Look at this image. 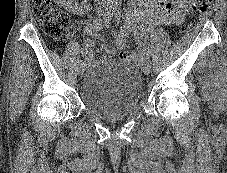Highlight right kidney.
Instances as JSON below:
<instances>
[{
	"label": "right kidney",
	"instance_id": "ca27d5eb",
	"mask_svg": "<svg viewBox=\"0 0 227 173\" xmlns=\"http://www.w3.org/2000/svg\"><path fill=\"white\" fill-rule=\"evenodd\" d=\"M63 2V5L68 8L70 11L72 12H78L79 11V7L78 5L74 2L75 0H61Z\"/></svg>",
	"mask_w": 227,
	"mask_h": 173
}]
</instances>
